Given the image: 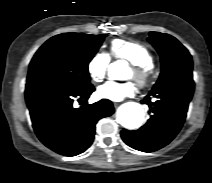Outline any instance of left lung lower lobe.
Returning <instances> with one entry per match:
<instances>
[{
    "mask_svg": "<svg viewBox=\"0 0 212 183\" xmlns=\"http://www.w3.org/2000/svg\"><path fill=\"white\" fill-rule=\"evenodd\" d=\"M193 92L192 73L179 75L153 88L142 101L151 109L150 119L138 130H122L123 141L143 152L166 146L180 131ZM151 97L158 100L153 103Z\"/></svg>",
    "mask_w": 212,
    "mask_h": 183,
    "instance_id": "left-lung-lower-lobe-1",
    "label": "left lung lower lobe"
}]
</instances>
